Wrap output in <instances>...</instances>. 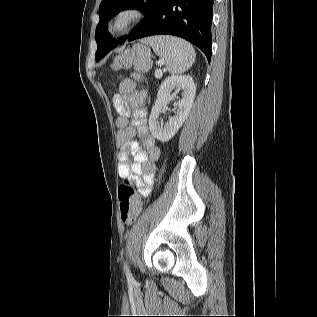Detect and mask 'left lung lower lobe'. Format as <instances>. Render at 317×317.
<instances>
[{"label":"left lung lower lobe","mask_w":317,"mask_h":317,"mask_svg":"<svg viewBox=\"0 0 317 317\" xmlns=\"http://www.w3.org/2000/svg\"><path fill=\"white\" fill-rule=\"evenodd\" d=\"M213 3L214 0H162L156 14L135 39L160 34L175 35L200 48L210 62ZM116 45L115 42L105 45L97 61Z\"/></svg>","instance_id":"1"}]
</instances>
